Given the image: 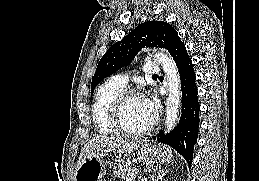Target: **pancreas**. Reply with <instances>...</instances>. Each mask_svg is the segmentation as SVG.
Masks as SVG:
<instances>
[{
    "mask_svg": "<svg viewBox=\"0 0 259 181\" xmlns=\"http://www.w3.org/2000/svg\"><path fill=\"white\" fill-rule=\"evenodd\" d=\"M139 171L136 168L122 167L113 172L116 178L127 179L130 176H135Z\"/></svg>",
    "mask_w": 259,
    "mask_h": 181,
    "instance_id": "cf45deb5",
    "label": "pancreas"
}]
</instances>
